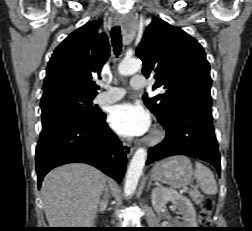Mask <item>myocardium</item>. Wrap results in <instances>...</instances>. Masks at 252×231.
I'll use <instances>...</instances> for the list:
<instances>
[{
    "label": "myocardium",
    "instance_id": "myocardium-1",
    "mask_svg": "<svg viewBox=\"0 0 252 231\" xmlns=\"http://www.w3.org/2000/svg\"><path fill=\"white\" fill-rule=\"evenodd\" d=\"M163 138H164V132L160 128H155L147 138V143L155 145L160 141H162Z\"/></svg>",
    "mask_w": 252,
    "mask_h": 231
}]
</instances>
